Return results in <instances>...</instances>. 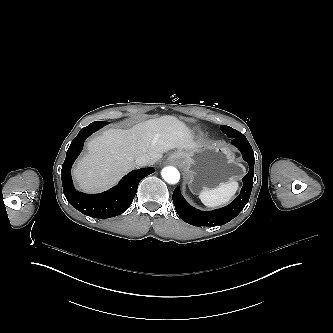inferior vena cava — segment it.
Wrapping results in <instances>:
<instances>
[{
    "mask_svg": "<svg viewBox=\"0 0 333 333\" xmlns=\"http://www.w3.org/2000/svg\"><path fill=\"white\" fill-rule=\"evenodd\" d=\"M135 163L137 166H146L150 165V158L146 155H142L136 158Z\"/></svg>",
    "mask_w": 333,
    "mask_h": 333,
    "instance_id": "602c4592",
    "label": "inferior vena cava"
}]
</instances>
